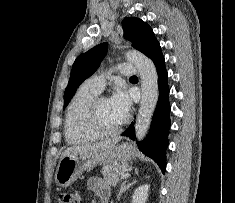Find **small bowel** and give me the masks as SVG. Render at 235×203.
Listing matches in <instances>:
<instances>
[{"label":"small bowel","mask_w":235,"mask_h":203,"mask_svg":"<svg viewBox=\"0 0 235 203\" xmlns=\"http://www.w3.org/2000/svg\"><path fill=\"white\" fill-rule=\"evenodd\" d=\"M88 188L99 197L101 203H105L107 201L110 190L108 185L101 178L92 177L88 181Z\"/></svg>","instance_id":"small-bowel-1"}]
</instances>
